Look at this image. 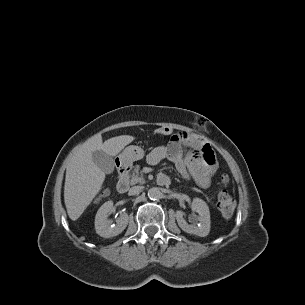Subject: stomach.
<instances>
[{"instance_id": "0dacf381", "label": "stomach", "mask_w": 305, "mask_h": 305, "mask_svg": "<svg viewBox=\"0 0 305 305\" xmlns=\"http://www.w3.org/2000/svg\"><path fill=\"white\" fill-rule=\"evenodd\" d=\"M145 155L140 146L130 145L119 155V160L125 166L131 165L134 161L141 160Z\"/></svg>"}]
</instances>
